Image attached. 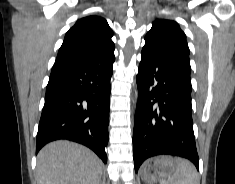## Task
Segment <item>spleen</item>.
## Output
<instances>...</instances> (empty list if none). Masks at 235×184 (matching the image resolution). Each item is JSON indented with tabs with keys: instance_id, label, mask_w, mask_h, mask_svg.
Listing matches in <instances>:
<instances>
[{
	"instance_id": "spleen-1",
	"label": "spleen",
	"mask_w": 235,
	"mask_h": 184,
	"mask_svg": "<svg viewBox=\"0 0 235 184\" xmlns=\"http://www.w3.org/2000/svg\"><path fill=\"white\" fill-rule=\"evenodd\" d=\"M174 170L168 180H160V184H200L195 166L184 158H173Z\"/></svg>"
}]
</instances>
